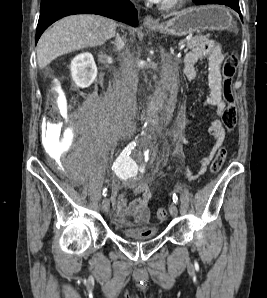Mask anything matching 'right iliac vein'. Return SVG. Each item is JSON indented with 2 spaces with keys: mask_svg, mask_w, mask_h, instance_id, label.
<instances>
[{
  "mask_svg": "<svg viewBox=\"0 0 267 298\" xmlns=\"http://www.w3.org/2000/svg\"><path fill=\"white\" fill-rule=\"evenodd\" d=\"M110 208V201L108 198H104L101 202V209L103 212H108Z\"/></svg>",
  "mask_w": 267,
  "mask_h": 298,
  "instance_id": "obj_1",
  "label": "right iliac vein"
}]
</instances>
